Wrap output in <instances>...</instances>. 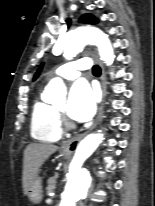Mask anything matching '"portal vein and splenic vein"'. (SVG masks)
<instances>
[{
	"label": "portal vein and splenic vein",
	"mask_w": 155,
	"mask_h": 206,
	"mask_svg": "<svg viewBox=\"0 0 155 206\" xmlns=\"http://www.w3.org/2000/svg\"><path fill=\"white\" fill-rule=\"evenodd\" d=\"M47 202H48V203H51V202H52V199H51V198H49V199L47 200Z\"/></svg>",
	"instance_id": "1"
}]
</instances>
